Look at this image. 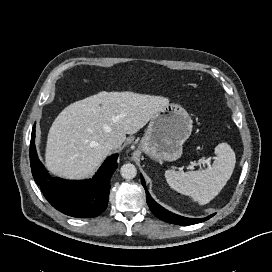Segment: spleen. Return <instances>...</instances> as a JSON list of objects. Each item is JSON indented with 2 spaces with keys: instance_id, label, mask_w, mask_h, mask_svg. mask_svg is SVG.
<instances>
[{
  "instance_id": "spleen-1",
  "label": "spleen",
  "mask_w": 272,
  "mask_h": 272,
  "mask_svg": "<svg viewBox=\"0 0 272 272\" xmlns=\"http://www.w3.org/2000/svg\"><path fill=\"white\" fill-rule=\"evenodd\" d=\"M215 154L217 157L212 166L203 170L165 171L167 183L175 191L192 197L201 205L209 203L226 185L236 163L235 153L227 143L218 144Z\"/></svg>"
}]
</instances>
